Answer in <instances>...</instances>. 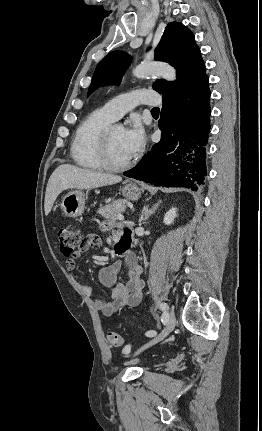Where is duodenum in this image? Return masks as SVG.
<instances>
[{
  "instance_id": "obj_1",
  "label": "duodenum",
  "mask_w": 262,
  "mask_h": 431,
  "mask_svg": "<svg viewBox=\"0 0 262 431\" xmlns=\"http://www.w3.org/2000/svg\"><path fill=\"white\" fill-rule=\"evenodd\" d=\"M129 242H130L129 238L122 237L119 243H117L119 250L123 252L126 249Z\"/></svg>"
}]
</instances>
